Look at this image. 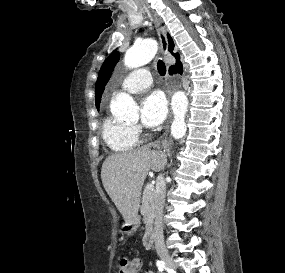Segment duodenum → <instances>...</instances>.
I'll list each match as a JSON object with an SVG mask.
<instances>
[{
	"mask_svg": "<svg viewBox=\"0 0 285 273\" xmlns=\"http://www.w3.org/2000/svg\"><path fill=\"white\" fill-rule=\"evenodd\" d=\"M154 242V231L153 228L150 227L148 231L145 232L143 236V244L149 248Z\"/></svg>",
	"mask_w": 285,
	"mask_h": 273,
	"instance_id": "410a0bca",
	"label": "duodenum"
}]
</instances>
